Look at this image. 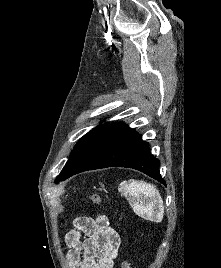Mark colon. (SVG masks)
Masks as SVG:
<instances>
[{"mask_svg": "<svg viewBox=\"0 0 221 268\" xmlns=\"http://www.w3.org/2000/svg\"><path fill=\"white\" fill-rule=\"evenodd\" d=\"M89 199L94 205H99L101 203V197L99 195H91ZM120 268H132V264L128 260H123Z\"/></svg>", "mask_w": 221, "mask_h": 268, "instance_id": "5ec220e1", "label": "colon"}]
</instances>
